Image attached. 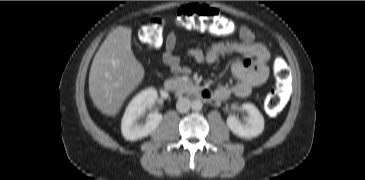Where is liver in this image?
Here are the masks:
<instances>
[{"instance_id": "1", "label": "liver", "mask_w": 365, "mask_h": 180, "mask_svg": "<svg viewBox=\"0 0 365 180\" xmlns=\"http://www.w3.org/2000/svg\"><path fill=\"white\" fill-rule=\"evenodd\" d=\"M132 29L119 26L97 51L89 74V93L103 114L116 116L125 99L142 82L145 71L131 49Z\"/></svg>"}]
</instances>
